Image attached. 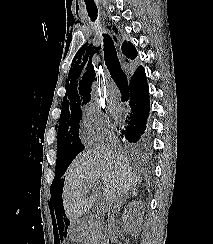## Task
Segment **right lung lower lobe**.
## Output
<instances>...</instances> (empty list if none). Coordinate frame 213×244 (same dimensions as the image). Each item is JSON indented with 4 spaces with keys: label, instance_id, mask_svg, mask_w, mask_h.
<instances>
[{
    "label": "right lung lower lobe",
    "instance_id": "1",
    "mask_svg": "<svg viewBox=\"0 0 213 244\" xmlns=\"http://www.w3.org/2000/svg\"><path fill=\"white\" fill-rule=\"evenodd\" d=\"M130 112L125 122L118 127L120 137L129 149L140 156H145L149 142L143 136L146 120L149 116V89L144 68L130 81Z\"/></svg>",
    "mask_w": 213,
    "mask_h": 244
}]
</instances>
